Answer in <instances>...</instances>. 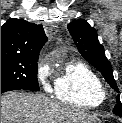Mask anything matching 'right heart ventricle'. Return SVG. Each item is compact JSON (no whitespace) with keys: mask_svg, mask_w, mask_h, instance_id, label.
I'll use <instances>...</instances> for the list:
<instances>
[{"mask_svg":"<svg viewBox=\"0 0 122 123\" xmlns=\"http://www.w3.org/2000/svg\"><path fill=\"white\" fill-rule=\"evenodd\" d=\"M102 88L101 79L87 64L73 61L57 71L51 92L65 104L94 108L103 101Z\"/></svg>","mask_w":122,"mask_h":123,"instance_id":"obj_1","label":"right heart ventricle"}]
</instances>
